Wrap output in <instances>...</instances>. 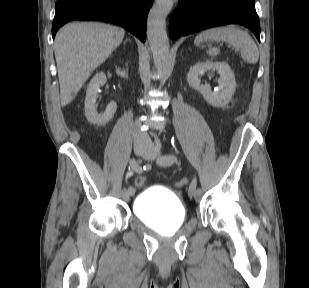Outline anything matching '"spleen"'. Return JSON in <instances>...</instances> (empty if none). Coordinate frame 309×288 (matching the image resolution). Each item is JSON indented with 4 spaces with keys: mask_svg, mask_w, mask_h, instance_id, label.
I'll use <instances>...</instances> for the list:
<instances>
[{
    "mask_svg": "<svg viewBox=\"0 0 309 288\" xmlns=\"http://www.w3.org/2000/svg\"><path fill=\"white\" fill-rule=\"evenodd\" d=\"M207 41H224L240 49L242 59L251 64L257 63L259 51L250 35L232 25L216 27L202 31L195 39V44L200 45ZM220 53L219 48H209L207 54L215 57Z\"/></svg>",
    "mask_w": 309,
    "mask_h": 288,
    "instance_id": "obj_1",
    "label": "spleen"
}]
</instances>
